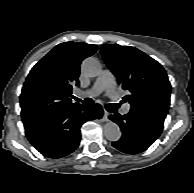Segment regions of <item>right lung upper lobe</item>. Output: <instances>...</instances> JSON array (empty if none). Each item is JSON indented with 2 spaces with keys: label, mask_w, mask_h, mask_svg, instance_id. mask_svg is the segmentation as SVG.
<instances>
[{
  "label": "right lung upper lobe",
  "mask_w": 194,
  "mask_h": 193,
  "mask_svg": "<svg viewBox=\"0 0 194 193\" xmlns=\"http://www.w3.org/2000/svg\"><path fill=\"white\" fill-rule=\"evenodd\" d=\"M97 50L96 45L64 42L54 47L30 71L20 95L22 121L50 115L72 103V85H78L80 64Z\"/></svg>",
  "instance_id": "1"
}]
</instances>
